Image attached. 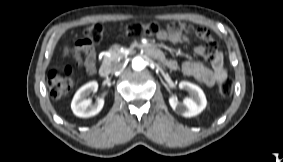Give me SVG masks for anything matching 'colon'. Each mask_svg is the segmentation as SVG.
Segmentation results:
<instances>
[{
  "mask_svg": "<svg viewBox=\"0 0 283 162\" xmlns=\"http://www.w3.org/2000/svg\"><path fill=\"white\" fill-rule=\"evenodd\" d=\"M160 31V26L157 23H134L126 27V33L134 38L143 35H157ZM103 33L104 27L102 24H91L84 30L85 40L89 43L99 42L103 37ZM65 54L68 55V51H66ZM47 84L53 98H61L67 94L74 84L70 68L65 67L61 70H51L47 75ZM232 92V81L224 80L218 85V93L221 97H229Z\"/></svg>",
  "mask_w": 283,
  "mask_h": 162,
  "instance_id": "colon-1",
  "label": "colon"
}]
</instances>
